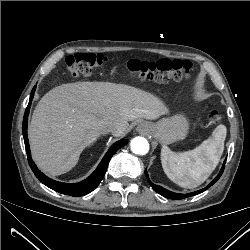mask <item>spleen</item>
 Segmentation results:
<instances>
[{"label": "spleen", "instance_id": "spleen-1", "mask_svg": "<svg viewBox=\"0 0 250 250\" xmlns=\"http://www.w3.org/2000/svg\"><path fill=\"white\" fill-rule=\"evenodd\" d=\"M226 127L219 125L213 137L199 147L175 153L166 145L161 149V163L167 177L183 188H195L215 170L224 150Z\"/></svg>", "mask_w": 250, "mask_h": 250}]
</instances>
